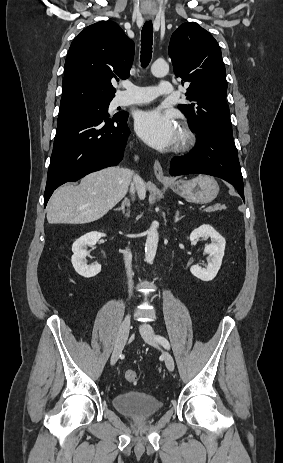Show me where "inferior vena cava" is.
I'll return each instance as SVG.
<instances>
[{"label":"inferior vena cava","mask_w":283,"mask_h":463,"mask_svg":"<svg viewBox=\"0 0 283 463\" xmlns=\"http://www.w3.org/2000/svg\"><path fill=\"white\" fill-rule=\"evenodd\" d=\"M133 182L131 183V188H130V192L131 194H134L135 193V189L137 188V185L138 184H142L143 181L142 179L140 178V176H138L137 174H133ZM124 262H125V267H126V271H127V276H128V285H129V294H131L132 292V270H131V262H132V254L130 252L129 249H126L125 252H124Z\"/></svg>","instance_id":"inferior-vena-cava-1"}]
</instances>
